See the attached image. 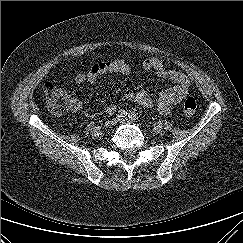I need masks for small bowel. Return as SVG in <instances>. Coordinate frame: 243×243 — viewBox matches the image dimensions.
I'll use <instances>...</instances> for the list:
<instances>
[{"label": "small bowel", "instance_id": "1", "mask_svg": "<svg viewBox=\"0 0 243 243\" xmlns=\"http://www.w3.org/2000/svg\"><path fill=\"white\" fill-rule=\"evenodd\" d=\"M142 68L152 71L157 77L170 82L171 86L163 90L158 97L157 107L161 114L169 115L171 107L180 103L188 94L190 82L187 76L179 71L166 68L163 63L154 57L147 58L142 62ZM131 72L130 64L118 59L94 64L87 73L76 75L74 82L77 85L83 83L94 84L100 77L109 74L128 75ZM122 101L135 102L143 107L151 108L154 106L152 97L144 90L130 92L124 95ZM118 107L117 103L107 107V113H114Z\"/></svg>", "mask_w": 243, "mask_h": 243}]
</instances>
